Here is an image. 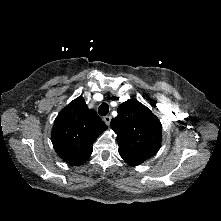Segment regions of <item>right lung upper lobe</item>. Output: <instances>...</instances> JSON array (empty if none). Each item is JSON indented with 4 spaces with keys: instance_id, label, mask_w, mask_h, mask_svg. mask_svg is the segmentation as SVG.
I'll list each match as a JSON object with an SVG mask.
<instances>
[{
    "instance_id": "right-lung-upper-lobe-1",
    "label": "right lung upper lobe",
    "mask_w": 221,
    "mask_h": 221,
    "mask_svg": "<svg viewBox=\"0 0 221 221\" xmlns=\"http://www.w3.org/2000/svg\"><path fill=\"white\" fill-rule=\"evenodd\" d=\"M107 129L83 97L71 101L55 119L51 140L58 156L70 165L78 166L88 160L93 143Z\"/></svg>"
}]
</instances>
